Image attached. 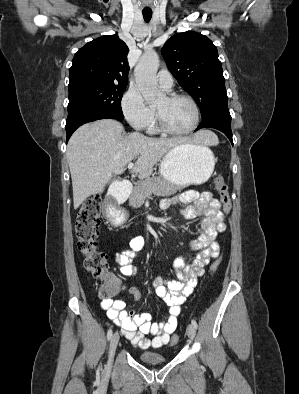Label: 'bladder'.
I'll list each match as a JSON object with an SVG mask.
<instances>
[{"mask_svg": "<svg viewBox=\"0 0 299 394\" xmlns=\"http://www.w3.org/2000/svg\"><path fill=\"white\" fill-rule=\"evenodd\" d=\"M138 359L141 363L148 366L162 365L167 362V358L165 356L153 352H143L139 354Z\"/></svg>", "mask_w": 299, "mask_h": 394, "instance_id": "1", "label": "bladder"}]
</instances>
